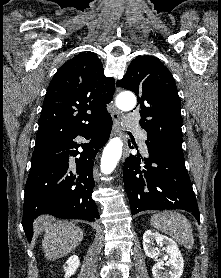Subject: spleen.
<instances>
[{"instance_id":"3e777b00","label":"spleen","mask_w":221,"mask_h":278,"mask_svg":"<svg viewBox=\"0 0 221 278\" xmlns=\"http://www.w3.org/2000/svg\"><path fill=\"white\" fill-rule=\"evenodd\" d=\"M151 225L171 236L185 248L191 249L194 245V236L189 220L176 212L163 211L154 214L150 220Z\"/></svg>"}]
</instances>
